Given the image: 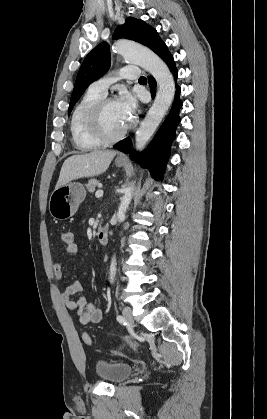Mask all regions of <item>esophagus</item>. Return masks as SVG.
Returning <instances> with one entry per match:
<instances>
[{
  "label": "esophagus",
  "mask_w": 267,
  "mask_h": 419,
  "mask_svg": "<svg viewBox=\"0 0 267 419\" xmlns=\"http://www.w3.org/2000/svg\"><path fill=\"white\" fill-rule=\"evenodd\" d=\"M119 158L120 159H126V157L124 155H120Z\"/></svg>",
  "instance_id": "esophagus-1"
}]
</instances>
